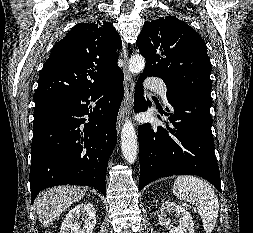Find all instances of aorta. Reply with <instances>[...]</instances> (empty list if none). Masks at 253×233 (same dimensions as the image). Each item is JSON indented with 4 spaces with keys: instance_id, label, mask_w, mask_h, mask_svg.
Listing matches in <instances>:
<instances>
[{
    "instance_id": "obj_1",
    "label": "aorta",
    "mask_w": 253,
    "mask_h": 233,
    "mask_svg": "<svg viewBox=\"0 0 253 233\" xmlns=\"http://www.w3.org/2000/svg\"><path fill=\"white\" fill-rule=\"evenodd\" d=\"M128 67L132 74L141 73L145 67L144 57L139 54L131 56ZM121 149L127 162L133 164L137 158L138 143L135 128L129 119H126L122 128Z\"/></svg>"
}]
</instances>
